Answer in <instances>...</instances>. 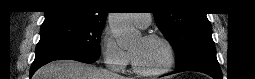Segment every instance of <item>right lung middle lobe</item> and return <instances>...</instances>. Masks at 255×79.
Masks as SVG:
<instances>
[{
	"instance_id": "1",
	"label": "right lung middle lobe",
	"mask_w": 255,
	"mask_h": 79,
	"mask_svg": "<svg viewBox=\"0 0 255 79\" xmlns=\"http://www.w3.org/2000/svg\"><path fill=\"white\" fill-rule=\"evenodd\" d=\"M104 25L67 20L46 21L40 30L36 57L53 53H67L99 58L100 35Z\"/></svg>"
}]
</instances>
